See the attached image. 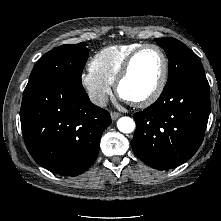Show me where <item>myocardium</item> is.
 Instances as JSON below:
<instances>
[{
	"instance_id": "myocardium-1",
	"label": "myocardium",
	"mask_w": 221,
	"mask_h": 221,
	"mask_svg": "<svg viewBox=\"0 0 221 221\" xmlns=\"http://www.w3.org/2000/svg\"><path fill=\"white\" fill-rule=\"evenodd\" d=\"M148 48H153L159 52L161 59H162V71H161V75H160L158 84L156 85L155 89L147 97H145L141 100H137V101H130L133 105H135L137 107L150 106L161 96V94L163 93V91L165 89L167 79H168L169 62H168V58H167L164 50L157 44H153V43L142 44L141 46H139L138 48H136L135 50H133L129 54V56L125 60L123 66H122V68H121V70L115 80V88H116L117 94L121 98L125 99L121 93V85L124 82V80L129 76L136 57L142 51H144L145 49H148Z\"/></svg>"
}]
</instances>
